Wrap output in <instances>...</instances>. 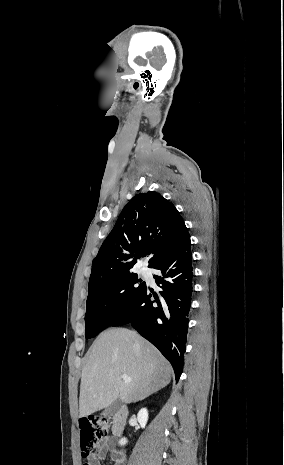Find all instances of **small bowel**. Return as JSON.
Returning <instances> with one entry per match:
<instances>
[{"instance_id":"obj_1","label":"small bowel","mask_w":284,"mask_h":465,"mask_svg":"<svg viewBox=\"0 0 284 465\" xmlns=\"http://www.w3.org/2000/svg\"><path fill=\"white\" fill-rule=\"evenodd\" d=\"M110 452V444L109 440L104 439L97 444V458L103 460L106 458L108 453ZM112 463L113 465H123L124 459L116 452L112 453ZM87 465H97L94 461H90Z\"/></svg>"}]
</instances>
